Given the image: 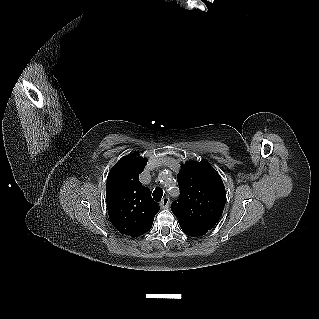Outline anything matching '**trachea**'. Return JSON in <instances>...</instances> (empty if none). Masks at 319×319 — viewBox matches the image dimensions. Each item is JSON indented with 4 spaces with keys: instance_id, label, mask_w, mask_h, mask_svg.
I'll return each instance as SVG.
<instances>
[{
    "instance_id": "obj_1",
    "label": "trachea",
    "mask_w": 319,
    "mask_h": 319,
    "mask_svg": "<svg viewBox=\"0 0 319 319\" xmlns=\"http://www.w3.org/2000/svg\"><path fill=\"white\" fill-rule=\"evenodd\" d=\"M152 195H153L154 200L160 201L162 199V196H163V190L161 188H156L153 191Z\"/></svg>"
}]
</instances>
